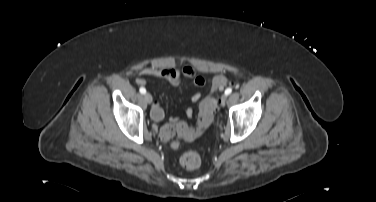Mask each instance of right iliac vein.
Segmentation results:
<instances>
[{"mask_svg": "<svg viewBox=\"0 0 376 202\" xmlns=\"http://www.w3.org/2000/svg\"><path fill=\"white\" fill-rule=\"evenodd\" d=\"M144 99H145V101H146L148 104H150V103L152 102V96H151V94H149V93H145V94H144Z\"/></svg>", "mask_w": 376, "mask_h": 202, "instance_id": "1", "label": "right iliac vein"}]
</instances>
